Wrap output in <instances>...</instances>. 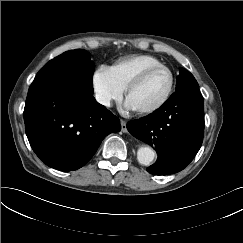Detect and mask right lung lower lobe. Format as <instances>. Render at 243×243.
<instances>
[{
    "instance_id": "right-lung-lower-lobe-1",
    "label": "right lung lower lobe",
    "mask_w": 243,
    "mask_h": 243,
    "mask_svg": "<svg viewBox=\"0 0 243 243\" xmlns=\"http://www.w3.org/2000/svg\"><path fill=\"white\" fill-rule=\"evenodd\" d=\"M24 122L36 155L61 171L84 166L108 134L121 130L119 119L93 97V86L45 79L29 88Z\"/></svg>"
}]
</instances>
